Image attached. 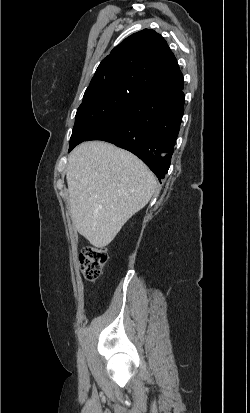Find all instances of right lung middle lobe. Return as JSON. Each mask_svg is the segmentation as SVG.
Wrapping results in <instances>:
<instances>
[{"label": "right lung middle lobe", "mask_w": 250, "mask_h": 413, "mask_svg": "<svg viewBox=\"0 0 250 413\" xmlns=\"http://www.w3.org/2000/svg\"><path fill=\"white\" fill-rule=\"evenodd\" d=\"M139 95L141 93L133 88L117 85L87 88L75 116L69 151L109 123Z\"/></svg>", "instance_id": "obj_1"}]
</instances>
